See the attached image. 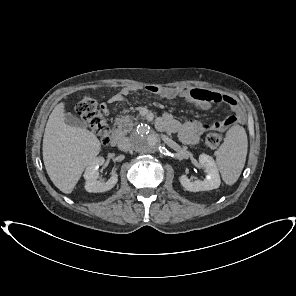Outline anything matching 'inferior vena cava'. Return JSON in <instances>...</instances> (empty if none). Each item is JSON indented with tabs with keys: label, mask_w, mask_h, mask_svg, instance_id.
Masks as SVG:
<instances>
[{
	"label": "inferior vena cava",
	"mask_w": 296,
	"mask_h": 296,
	"mask_svg": "<svg viewBox=\"0 0 296 296\" xmlns=\"http://www.w3.org/2000/svg\"><path fill=\"white\" fill-rule=\"evenodd\" d=\"M132 147L131 140L127 137H123L120 139L118 143V148L122 151H128Z\"/></svg>",
	"instance_id": "1"
}]
</instances>
